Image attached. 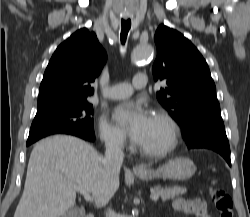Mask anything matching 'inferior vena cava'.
Wrapping results in <instances>:
<instances>
[{
	"mask_svg": "<svg viewBox=\"0 0 250 217\" xmlns=\"http://www.w3.org/2000/svg\"><path fill=\"white\" fill-rule=\"evenodd\" d=\"M124 153L122 150V141L116 137L110 138L106 141V152L104 157V164L114 174H119L121 165L123 163ZM106 217H115L113 210L108 209Z\"/></svg>",
	"mask_w": 250,
	"mask_h": 217,
	"instance_id": "obj_1",
	"label": "inferior vena cava"
}]
</instances>
